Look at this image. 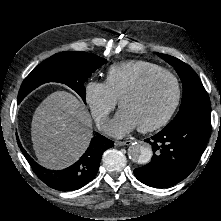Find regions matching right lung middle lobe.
<instances>
[{"instance_id":"1","label":"right lung middle lobe","mask_w":221,"mask_h":221,"mask_svg":"<svg viewBox=\"0 0 221 221\" xmlns=\"http://www.w3.org/2000/svg\"><path fill=\"white\" fill-rule=\"evenodd\" d=\"M107 60L86 52H61L39 64L23 81L18 103L47 82H60L75 90L86 102L84 82Z\"/></svg>"}]
</instances>
